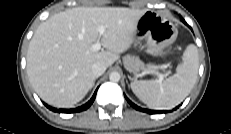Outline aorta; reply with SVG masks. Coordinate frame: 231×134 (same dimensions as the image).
<instances>
[{"label":"aorta","instance_id":"1","mask_svg":"<svg viewBox=\"0 0 231 134\" xmlns=\"http://www.w3.org/2000/svg\"><path fill=\"white\" fill-rule=\"evenodd\" d=\"M109 79L112 82H118L120 80V74L118 72H111L109 75Z\"/></svg>","mask_w":231,"mask_h":134}]
</instances>
